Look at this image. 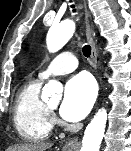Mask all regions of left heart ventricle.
Segmentation results:
<instances>
[{"label": "left heart ventricle", "instance_id": "left-heart-ventricle-1", "mask_svg": "<svg viewBox=\"0 0 131 151\" xmlns=\"http://www.w3.org/2000/svg\"><path fill=\"white\" fill-rule=\"evenodd\" d=\"M57 105H58V102H55V103H52L50 106L55 108V107H57Z\"/></svg>", "mask_w": 131, "mask_h": 151}]
</instances>
